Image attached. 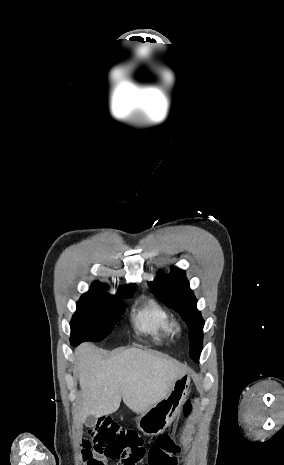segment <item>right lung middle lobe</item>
Returning a JSON list of instances; mask_svg holds the SVG:
<instances>
[{
  "instance_id": "obj_1",
  "label": "right lung middle lobe",
  "mask_w": 284,
  "mask_h": 465,
  "mask_svg": "<svg viewBox=\"0 0 284 465\" xmlns=\"http://www.w3.org/2000/svg\"><path fill=\"white\" fill-rule=\"evenodd\" d=\"M132 295L111 296L97 288L83 294L70 322V342L77 346L84 341L100 342L106 338L125 311L122 298Z\"/></svg>"
}]
</instances>
